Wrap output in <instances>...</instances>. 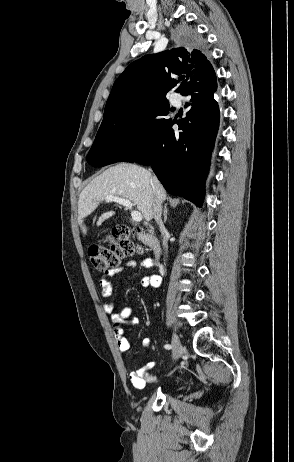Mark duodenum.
<instances>
[{
    "instance_id": "obj_1",
    "label": "duodenum",
    "mask_w": 294,
    "mask_h": 462,
    "mask_svg": "<svg viewBox=\"0 0 294 462\" xmlns=\"http://www.w3.org/2000/svg\"><path fill=\"white\" fill-rule=\"evenodd\" d=\"M137 238L142 241L144 244L149 246L156 254V260L154 261V266H160L159 257L161 255V249L157 238L154 235L153 230L148 229L142 232L137 233Z\"/></svg>"
}]
</instances>
